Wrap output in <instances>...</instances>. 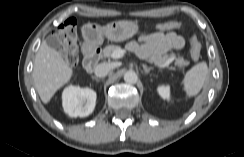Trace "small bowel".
Segmentation results:
<instances>
[{"mask_svg":"<svg viewBox=\"0 0 244 157\" xmlns=\"http://www.w3.org/2000/svg\"><path fill=\"white\" fill-rule=\"evenodd\" d=\"M185 44L184 38L173 31L155 32L142 36L138 41H131L128 48L142 58L161 57L172 50H179Z\"/></svg>","mask_w":244,"mask_h":157,"instance_id":"1","label":"small bowel"}]
</instances>
